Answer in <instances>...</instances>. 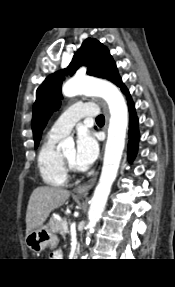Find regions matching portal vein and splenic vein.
<instances>
[{
    "mask_svg": "<svg viewBox=\"0 0 175 287\" xmlns=\"http://www.w3.org/2000/svg\"><path fill=\"white\" fill-rule=\"evenodd\" d=\"M63 229H64L65 233L68 232V224H67V220L66 219L63 221Z\"/></svg>",
    "mask_w": 175,
    "mask_h": 287,
    "instance_id": "18ae733b",
    "label": "portal vein and splenic vein"
}]
</instances>
